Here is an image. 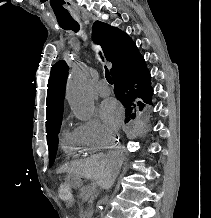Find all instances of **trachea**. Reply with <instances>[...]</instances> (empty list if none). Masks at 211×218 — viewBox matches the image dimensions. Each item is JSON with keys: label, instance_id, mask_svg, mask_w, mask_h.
I'll return each mask as SVG.
<instances>
[{"label": "trachea", "instance_id": "obj_1", "mask_svg": "<svg viewBox=\"0 0 211 218\" xmlns=\"http://www.w3.org/2000/svg\"><path fill=\"white\" fill-rule=\"evenodd\" d=\"M79 28H80L79 25H73V26L65 27L64 30H73L74 32H78ZM99 54H100V57L103 60V57H102L100 52H99ZM104 68H105V77H106V80L108 81V83L112 84L113 82H112L109 70H108V68L106 66Z\"/></svg>", "mask_w": 211, "mask_h": 218}]
</instances>
